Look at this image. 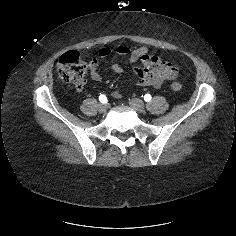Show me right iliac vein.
Wrapping results in <instances>:
<instances>
[{
  "label": "right iliac vein",
  "mask_w": 236,
  "mask_h": 236,
  "mask_svg": "<svg viewBox=\"0 0 236 236\" xmlns=\"http://www.w3.org/2000/svg\"><path fill=\"white\" fill-rule=\"evenodd\" d=\"M107 109H108V105L105 104V103L99 104V106H98V110H99L100 112H106Z\"/></svg>",
  "instance_id": "63e3f726"
}]
</instances>
